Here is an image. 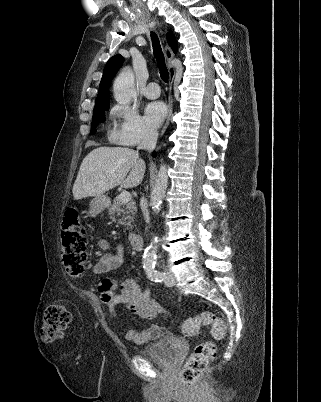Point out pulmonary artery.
<instances>
[{"label":"pulmonary artery","instance_id":"1","mask_svg":"<svg viewBox=\"0 0 321 402\" xmlns=\"http://www.w3.org/2000/svg\"><path fill=\"white\" fill-rule=\"evenodd\" d=\"M144 95L149 99H155L160 96V88L156 82L149 83L144 91Z\"/></svg>","mask_w":321,"mask_h":402}]
</instances>
